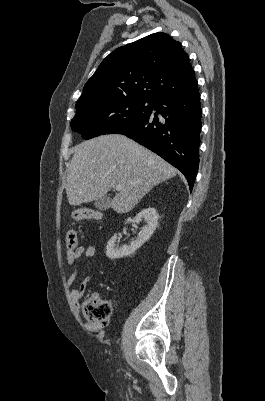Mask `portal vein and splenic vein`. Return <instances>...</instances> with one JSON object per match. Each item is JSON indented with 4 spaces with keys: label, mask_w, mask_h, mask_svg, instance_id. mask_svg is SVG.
<instances>
[{
    "label": "portal vein and splenic vein",
    "mask_w": 265,
    "mask_h": 401,
    "mask_svg": "<svg viewBox=\"0 0 265 401\" xmlns=\"http://www.w3.org/2000/svg\"><path fill=\"white\" fill-rule=\"evenodd\" d=\"M116 190H122L123 186L121 184H115Z\"/></svg>",
    "instance_id": "18ae733b"
}]
</instances>
